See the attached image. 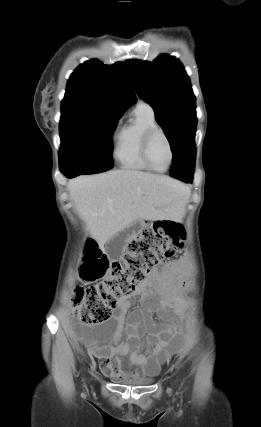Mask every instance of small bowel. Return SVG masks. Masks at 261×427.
Here are the masks:
<instances>
[{
    "mask_svg": "<svg viewBox=\"0 0 261 427\" xmlns=\"http://www.w3.org/2000/svg\"><path fill=\"white\" fill-rule=\"evenodd\" d=\"M182 267L181 260L155 267L131 295L117 301L109 324L98 330L83 326L75 328V336L88 353L101 359L103 373L115 379L137 378L141 373L156 375L166 358L181 349L183 340L178 329L159 324L153 319L152 313L157 309V303L149 295L148 288L165 286ZM138 296L142 298L140 305L127 317L132 300ZM100 340H109V343L99 345ZM125 356H129L130 365L123 366L121 358Z\"/></svg>",
    "mask_w": 261,
    "mask_h": 427,
    "instance_id": "c3829d8e",
    "label": "small bowel"
}]
</instances>
